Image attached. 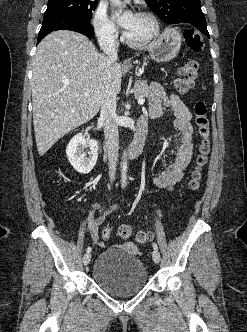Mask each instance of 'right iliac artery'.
I'll return each mask as SVG.
<instances>
[{
  "instance_id": "obj_1",
  "label": "right iliac artery",
  "mask_w": 247,
  "mask_h": 332,
  "mask_svg": "<svg viewBox=\"0 0 247 332\" xmlns=\"http://www.w3.org/2000/svg\"><path fill=\"white\" fill-rule=\"evenodd\" d=\"M87 252H88V253L91 252V247H88V248H87Z\"/></svg>"
}]
</instances>
